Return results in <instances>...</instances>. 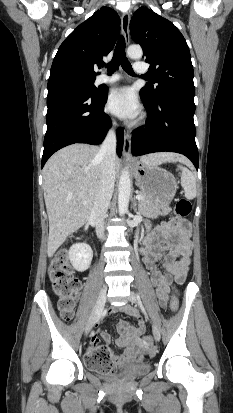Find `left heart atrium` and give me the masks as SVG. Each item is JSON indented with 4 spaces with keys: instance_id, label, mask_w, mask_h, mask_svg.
I'll return each instance as SVG.
<instances>
[{
    "instance_id": "left-heart-atrium-1",
    "label": "left heart atrium",
    "mask_w": 233,
    "mask_h": 413,
    "mask_svg": "<svg viewBox=\"0 0 233 413\" xmlns=\"http://www.w3.org/2000/svg\"><path fill=\"white\" fill-rule=\"evenodd\" d=\"M108 108L120 118L133 120L140 114L141 106L133 89L117 88L108 97Z\"/></svg>"
}]
</instances>
